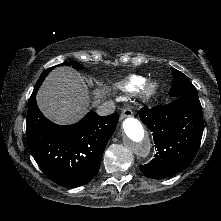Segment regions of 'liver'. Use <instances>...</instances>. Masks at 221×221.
<instances>
[{
	"label": "liver",
	"instance_id": "liver-1",
	"mask_svg": "<svg viewBox=\"0 0 221 221\" xmlns=\"http://www.w3.org/2000/svg\"><path fill=\"white\" fill-rule=\"evenodd\" d=\"M103 90L93 94L97 103ZM91 95L80 74L69 67H57L46 77L37 93V104L42 113L57 124H73L87 112Z\"/></svg>",
	"mask_w": 221,
	"mask_h": 221
}]
</instances>
